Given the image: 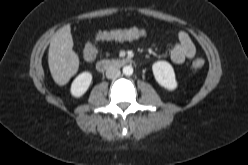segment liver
Wrapping results in <instances>:
<instances>
[{
	"label": "liver",
	"instance_id": "1",
	"mask_svg": "<svg viewBox=\"0 0 248 165\" xmlns=\"http://www.w3.org/2000/svg\"><path fill=\"white\" fill-rule=\"evenodd\" d=\"M72 48L71 28L67 24L54 34L48 52L49 69L58 85L67 84L78 71L79 58Z\"/></svg>",
	"mask_w": 248,
	"mask_h": 165
}]
</instances>
